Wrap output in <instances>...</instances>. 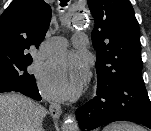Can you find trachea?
Wrapping results in <instances>:
<instances>
[{
    "mask_svg": "<svg viewBox=\"0 0 151 131\" xmlns=\"http://www.w3.org/2000/svg\"><path fill=\"white\" fill-rule=\"evenodd\" d=\"M68 1L69 0H60V2H61L60 6H62V7L66 6Z\"/></svg>",
    "mask_w": 151,
    "mask_h": 131,
    "instance_id": "3493384b",
    "label": "trachea"
}]
</instances>
